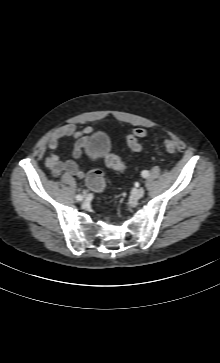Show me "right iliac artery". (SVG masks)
Returning a JSON list of instances; mask_svg holds the SVG:
<instances>
[{
    "label": "right iliac artery",
    "mask_w": 220,
    "mask_h": 363,
    "mask_svg": "<svg viewBox=\"0 0 220 363\" xmlns=\"http://www.w3.org/2000/svg\"><path fill=\"white\" fill-rule=\"evenodd\" d=\"M82 199H83L82 195H77V196H76V200H77V201H81Z\"/></svg>",
    "instance_id": "82829eb1"
}]
</instances>
